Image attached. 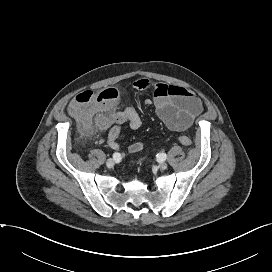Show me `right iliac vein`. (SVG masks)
Instances as JSON below:
<instances>
[{"instance_id": "obj_1", "label": "right iliac vein", "mask_w": 272, "mask_h": 272, "mask_svg": "<svg viewBox=\"0 0 272 272\" xmlns=\"http://www.w3.org/2000/svg\"><path fill=\"white\" fill-rule=\"evenodd\" d=\"M114 165H115L114 159L110 158V159L107 160L106 166H107L108 168H112Z\"/></svg>"}]
</instances>
